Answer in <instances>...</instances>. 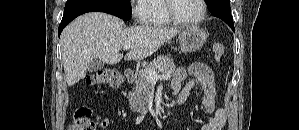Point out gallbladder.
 I'll return each instance as SVG.
<instances>
[{
	"label": "gallbladder",
	"instance_id": "obj_1",
	"mask_svg": "<svg viewBox=\"0 0 299 130\" xmlns=\"http://www.w3.org/2000/svg\"><path fill=\"white\" fill-rule=\"evenodd\" d=\"M103 67H104V62H102L99 59H94L88 65V71L89 72H96V71L101 70Z\"/></svg>",
	"mask_w": 299,
	"mask_h": 130
}]
</instances>
